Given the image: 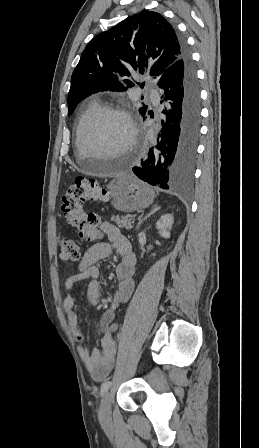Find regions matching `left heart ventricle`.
Listing matches in <instances>:
<instances>
[{"label":"left heart ventricle","instance_id":"1","mask_svg":"<svg viewBox=\"0 0 259 448\" xmlns=\"http://www.w3.org/2000/svg\"><path fill=\"white\" fill-rule=\"evenodd\" d=\"M130 139L127 121L118 114H109L101 118L89 135L91 149L83 150L82 163L102 162L106 158L119 154Z\"/></svg>","mask_w":259,"mask_h":448}]
</instances>
